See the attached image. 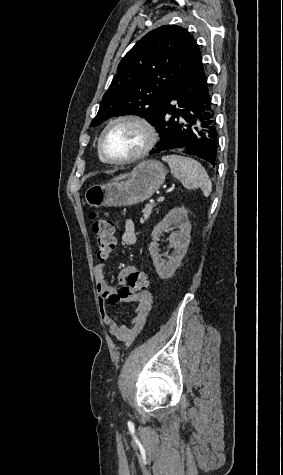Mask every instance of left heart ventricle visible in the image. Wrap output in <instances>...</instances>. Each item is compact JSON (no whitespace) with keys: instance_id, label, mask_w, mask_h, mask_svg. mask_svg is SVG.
Instances as JSON below:
<instances>
[{"instance_id":"left-heart-ventricle-1","label":"left heart ventricle","mask_w":283,"mask_h":475,"mask_svg":"<svg viewBox=\"0 0 283 475\" xmlns=\"http://www.w3.org/2000/svg\"><path fill=\"white\" fill-rule=\"evenodd\" d=\"M146 139L147 132L143 126L135 122H120L104 136L103 148L107 156L122 158L139 151Z\"/></svg>"}]
</instances>
